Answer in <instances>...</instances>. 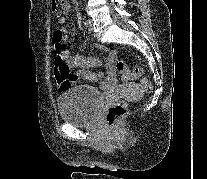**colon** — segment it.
Segmentation results:
<instances>
[{"label": "colon", "mask_w": 207, "mask_h": 179, "mask_svg": "<svg viewBox=\"0 0 207 179\" xmlns=\"http://www.w3.org/2000/svg\"><path fill=\"white\" fill-rule=\"evenodd\" d=\"M52 9L54 13L59 16H65L68 10V3L66 0H52ZM52 41L54 45V69L57 77V82L60 89L65 90L70 87L71 83L77 80L70 74L69 65L62 50V32L57 29L52 34ZM117 70L121 74L124 81L133 78L141 79V90L148 92L151 90V83L142 77L143 69L135 67L129 70L122 61L117 62ZM127 115V106L125 102H117L112 105L106 114V123L109 126H116Z\"/></svg>", "instance_id": "5ec220e1"}]
</instances>
